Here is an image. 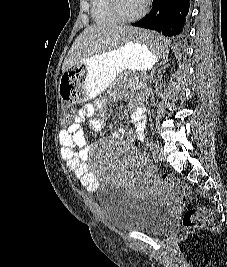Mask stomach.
<instances>
[{
    "label": "stomach",
    "instance_id": "1",
    "mask_svg": "<svg viewBox=\"0 0 227 267\" xmlns=\"http://www.w3.org/2000/svg\"><path fill=\"white\" fill-rule=\"evenodd\" d=\"M157 60L150 47L129 40L117 49L77 61L70 64L60 77L59 101L62 104H84L109 87L119 74L149 70Z\"/></svg>",
    "mask_w": 227,
    "mask_h": 267
}]
</instances>
